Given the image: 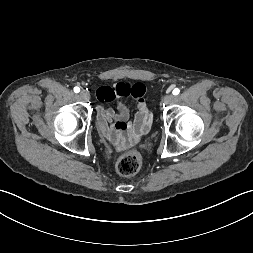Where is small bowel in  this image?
Masks as SVG:
<instances>
[{
    "label": "small bowel",
    "mask_w": 253,
    "mask_h": 253,
    "mask_svg": "<svg viewBox=\"0 0 253 253\" xmlns=\"http://www.w3.org/2000/svg\"><path fill=\"white\" fill-rule=\"evenodd\" d=\"M146 88L141 83H117L113 87L104 86L97 90L100 102L118 100L117 111L97 106V120L100 131L117 150L134 144L148 132L152 117L145 101ZM131 96L137 102V111L132 116L131 110L123 103V98Z\"/></svg>",
    "instance_id": "small-bowel-1"
}]
</instances>
